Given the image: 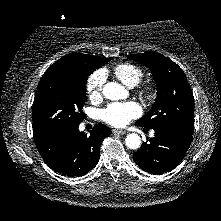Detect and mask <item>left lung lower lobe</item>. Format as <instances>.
Masks as SVG:
<instances>
[{
    "label": "left lung lower lobe",
    "mask_w": 221,
    "mask_h": 221,
    "mask_svg": "<svg viewBox=\"0 0 221 221\" xmlns=\"http://www.w3.org/2000/svg\"><path fill=\"white\" fill-rule=\"evenodd\" d=\"M155 136L145 142L133 154L135 163L151 174H163L173 170L185 156L192 134L172 128H155Z\"/></svg>",
    "instance_id": "1"
}]
</instances>
